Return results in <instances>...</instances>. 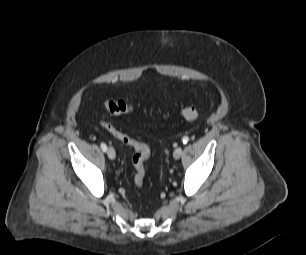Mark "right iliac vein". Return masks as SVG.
<instances>
[{
  "instance_id": "right-iliac-vein-1",
  "label": "right iliac vein",
  "mask_w": 306,
  "mask_h": 255,
  "mask_svg": "<svg viewBox=\"0 0 306 255\" xmlns=\"http://www.w3.org/2000/svg\"><path fill=\"white\" fill-rule=\"evenodd\" d=\"M107 156L109 157V159L114 160L116 158V152L114 150V148L109 147L107 150Z\"/></svg>"
}]
</instances>
